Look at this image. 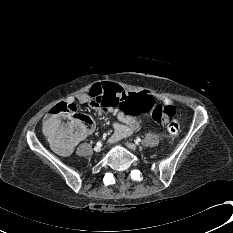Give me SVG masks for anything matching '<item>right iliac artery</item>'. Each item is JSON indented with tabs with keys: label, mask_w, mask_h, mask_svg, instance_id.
<instances>
[{
	"label": "right iliac artery",
	"mask_w": 233,
	"mask_h": 233,
	"mask_svg": "<svg viewBox=\"0 0 233 233\" xmlns=\"http://www.w3.org/2000/svg\"><path fill=\"white\" fill-rule=\"evenodd\" d=\"M101 145H102L101 142H98V143H97V146L101 147Z\"/></svg>",
	"instance_id": "obj_1"
}]
</instances>
